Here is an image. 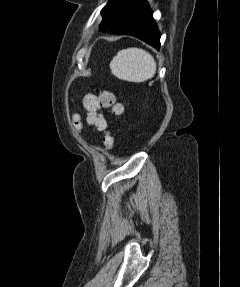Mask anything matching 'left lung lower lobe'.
Instances as JSON below:
<instances>
[{"label": "left lung lower lobe", "mask_w": 240, "mask_h": 287, "mask_svg": "<svg viewBox=\"0 0 240 287\" xmlns=\"http://www.w3.org/2000/svg\"><path fill=\"white\" fill-rule=\"evenodd\" d=\"M99 30L131 35L160 48V33L146 0H109L101 11Z\"/></svg>", "instance_id": "1"}]
</instances>
